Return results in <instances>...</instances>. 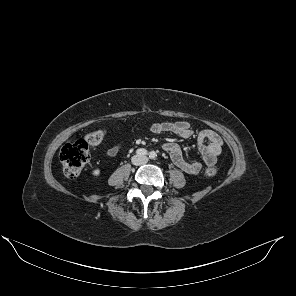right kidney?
Returning <instances> with one entry per match:
<instances>
[{"label":"right kidney","instance_id":"1","mask_svg":"<svg viewBox=\"0 0 296 296\" xmlns=\"http://www.w3.org/2000/svg\"><path fill=\"white\" fill-rule=\"evenodd\" d=\"M93 176H99L100 175V169H95L92 171Z\"/></svg>","mask_w":296,"mask_h":296}]
</instances>
